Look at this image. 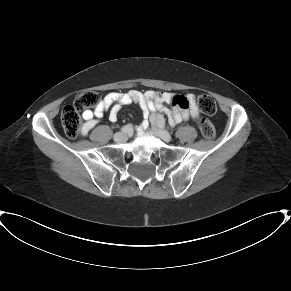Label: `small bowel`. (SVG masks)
Listing matches in <instances>:
<instances>
[{
  "label": "small bowel",
  "instance_id": "small-bowel-1",
  "mask_svg": "<svg viewBox=\"0 0 291 291\" xmlns=\"http://www.w3.org/2000/svg\"><path fill=\"white\" fill-rule=\"evenodd\" d=\"M136 103L144 113L148 111H160L170 114V120L173 123H179L182 120L196 118L199 115V109L193 94L173 95L169 92L146 91L140 92L130 90L126 93L111 92L96 106L94 110L83 112L84 123L82 126V135H87L103 116L105 111L109 110V120L115 122L123 105ZM172 103L173 109L169 111L164 104ZM146 127V123H143Z\"/></svg>",
  "mask_w": 291,
  "mask_h": 291
}]
</instances>
